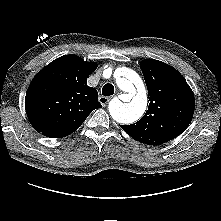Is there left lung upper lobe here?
<instances>
[{"mask_svg": "<svg viewBox=\"0 0 221 221\" xmlns=\"http://www.w3.org/2000/svg\"><path fill=\"white\" fill-rule=\"evenodd\" d=\"M140 68L148 88L149 108L138 122L121 128L136 141L160 145L188 127L194 114V95L184 77L172 66L145 59Z\"/></svg>", "mask_w": 221, "mask_h": 221, "instance_id": "5c2ea615", "label": "left lung upper lobe"}]
</instances>
